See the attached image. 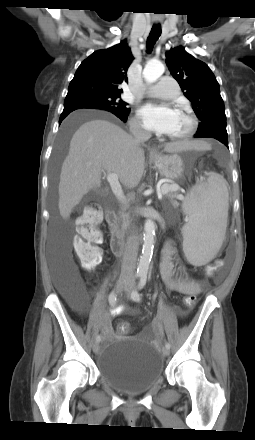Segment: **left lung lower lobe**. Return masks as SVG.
I'll return each mask as SVG.
<instances>
[{"instance_id":"0a47b994","label":"left lung lower lobe","mask_w":255,"mask_h":440,"mask_svg":"<svg viewBox=\"0 0 255 440\" xmlns=\"http://www.w3.org/2000/svg\"><path fill=\"white\" fill-rule=\"evenodd\" d=\"M194 137L195 138H214L228 147V137L225 135L210 133V134H203V135L195 134Z\"/></svg>"}]
</instances>
